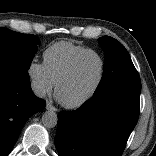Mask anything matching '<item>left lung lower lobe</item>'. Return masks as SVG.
Segmentation results:
<instances>
[{"label":"left lung lower lobe","instance_id":"0a47b994","mask_svg":"<svg viewBox=\"0 0 156 156\" xmlns=\"http://www.w3.org/2000/svg\"><path fill=\"white\" fill-rule=\"evenodd\" d=\"M139 106V91L110 89L94 94L75 111H61L55 137L59 156H121Z\"/></svg>","mask_w":156,"mask_h":156}]
</instances>
